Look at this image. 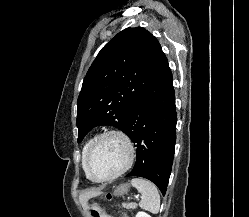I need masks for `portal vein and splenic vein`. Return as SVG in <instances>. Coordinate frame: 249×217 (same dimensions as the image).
<instances>
[{"instance_id":"obj_1","label":"portal vein and splenic vein","mask_w":249,"mask_h":217,"mask_svg":"<svg viewBox=\"0 0 249 217\" xmlns=\"http://www.w3.org/2000/svg\"><path fill=\"white\" fill-rule=\"evenodd\" d=\"M135 198H136V199H138V198H139V196H135Z\"/></svg>"}]
</instances>
